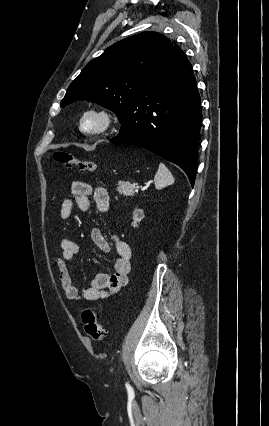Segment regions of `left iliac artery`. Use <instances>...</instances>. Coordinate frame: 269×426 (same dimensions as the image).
Here are the masks:
<instances>
[{"label":"left iliac artery","mask_w":269,"mask_h":426,"mask_svg":"<svg viewBox=\"0 0 269 426\" xmlns=\"http://www.w3.org/2000/svg\"><path fill=\"white\" fill-rule=\"evenodd\" d=\"M125 385H126V388H127L128 392H132L133 391L132 387L128 383H126Z\"/></svg>","instance_id":"44dca946"}]
</instances>
